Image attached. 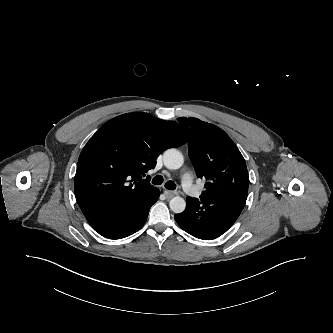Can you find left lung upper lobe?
Listing matches in <instances>:
<instances>
[{"label": "left lung upper lobe", "instance_id": "1", "mask_svg": "<svg viewBox=\"0 0 333 333\" xmlns=\"http://www.w3.org/2000/svg\"><path fill=\"white\" fill-rule=\"evenodd\" d=\"M178 121L189 136V156L197 175L206 180L201 195L249 182L242 154L222 129L197 118L183 117Z\"/></svg>", "mask_w": 333, "mask_h": 333}]
</instances>
